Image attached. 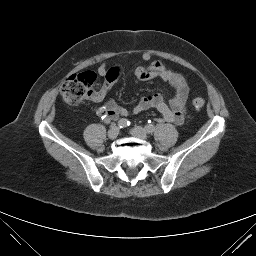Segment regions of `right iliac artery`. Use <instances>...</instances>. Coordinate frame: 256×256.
I'll return each instance as SVG.
<instances>
[{"instance_id":"82829eb1","label":"right iliac artery","mask_w":256,"mask_h":256,"mask_svg":"<svg viewBox=\"0 0 256 256\" xmlns=\"http://www.w3.org/2000/svg\"><path fill=\"white\" fill-rule=\"evenodd\" d=\"M130 125V122L127 120V119H125V118H122V119H120L119 121H118V126L120 127V128H125V127H127V126H129Z\"/></svg>"}]
</instances>
